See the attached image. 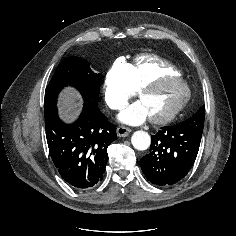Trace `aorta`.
<instances>
[{"label": "aorta", "instance_id": "aorta-1", "mask_svg": "<svg viewBox=\"0 0 236 236\" xmlns=\"http://www.w3.org/2000/svg\"><path fill=\"white\" fill-rule=\"evenodd\" d=\"M131 143L135 149L143 151L149 148L151 138L147 132L139 130L133 133Z\"/></svg>", "mask_w": 236, "mask_h": 236}]
</instances>
